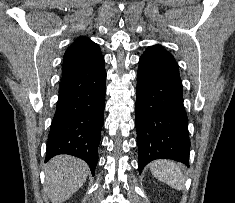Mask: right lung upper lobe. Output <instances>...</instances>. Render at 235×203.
Instances as JSON below:
<instances>
[{
  "label": "right lung upper lobe",
  "mask_w": 235,
  "mask_h": 203,
  "mask_svg": "<svg viewBox=\"0 0 235 203\" xmlns=\"http://www.w3.org/2000/svg\"><path fill=\"white\" fill-rule=\"evenodd\" d=\"M101 55L100 47L89 38H77L64 54L62 76L83 68Z\"/></svg>",
  "instance_id": "cb5924a9"
}]
</instances>
